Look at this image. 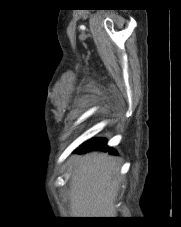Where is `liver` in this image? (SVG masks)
Masks as SVG:
<instances>
[{"instance_id": "1", "label": "liver", "mask_w": 181, "mask_h": 227, "mask_svg": "<svg viewBox=\"0 0 181 227\" xmlns=\"http://www.w3.org/2000/svg\"><path fill=\"white\" fill-rule=\"evenodd\" d=\"M71 178L72 217H115L114 200L119 188L117 159L102 152L76 158Z\"/></svg>"}]
</instances>
